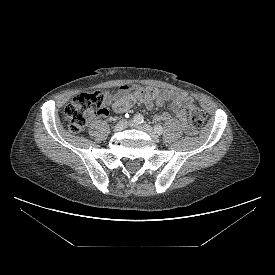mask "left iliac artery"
<instances>
[{
	"label": "left iliac artery",
	"mask_w": 275,
	"mask_h": 275,
	"mask_svg": "<svg viewBox=\"0 0 275 275\" xmlns=\"http://www.w3.org/2000/svg\"><path fill=\"white\" fill-rule=\"evenodd\" d=\"M154 130L157 134L161 135L163 133V128L161 125H155Z\"/></svg>",
	"instance_id": "obj_1"
}]
</instances>
